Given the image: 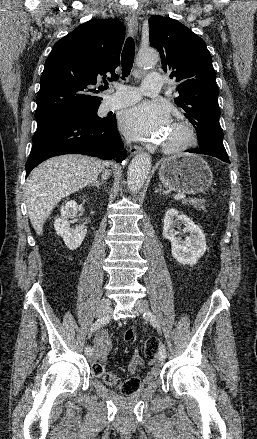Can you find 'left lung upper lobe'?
<instances>
[{
	"mask_svg": "<svg viewBox=\"0 0 257 439\" xmlns=\"http://www.w3.org/2000/svg\"><path fill=\"white\" fill-rule=\"evenodd\" d=\"M149 41L160 53L163 70L178 83L174 101L196 129L199 149L226 152L216 74L205 41L179 21L159 15L149 19Z\"/></svg>",
	"mask_w": 257,
	"mask_h": 439,
	"instance_id": "left-lung-upper-lobe-1",
	"label": "left lung upper lobe"
}]
</instances>
